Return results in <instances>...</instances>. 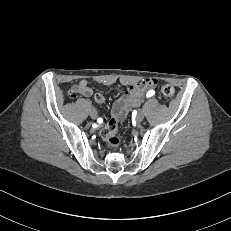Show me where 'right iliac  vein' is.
<instances>
[{"mask_svg": "<svg viewBox=\"0 0 231 231\" xmlns=\"http://www.w3.org/2000/svg\"><path fill=\"white\" fill-rule=\"evenodd\" d=\"M90 117H91L92 119H96V118H97V111H96L95 108H91V109H90Z\"/></svg>", "mask_w": 231, "mask_h": 231, "instance_id": "obj_1", "label": "right iliac vein"}]
</instances>
